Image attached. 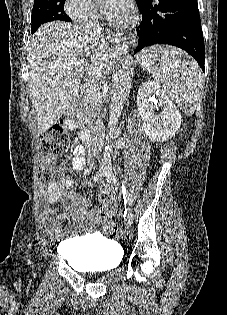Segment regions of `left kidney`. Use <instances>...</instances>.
Returning <instances> with one entry per match:
<instances>
[{
    "mask_svg": "<svg viewBox=\"0 0 227 315\" xmlns=\"http://www.w3.org/2000/svg\"><path fill=\"white\" fill-rule=\"evenodd\" d=\"M137 106L143 119V130L152 141H166L179 130L181 114L154 81L145 82L139 87ZM155 108L161 109V112L154 114Z\"/></svg>",
    "mask_w": 227,
    "mask_h": 315,
    "instance_id": "left-kidney-1",
    "label": "left kidney"
}]
</instances>
